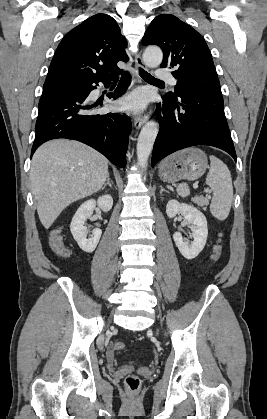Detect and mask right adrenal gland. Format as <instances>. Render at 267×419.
Listing matches in <instances>:
<instances>
[{
    "label": "right adrenal gland",
    "instance_id": "2a0ac1e0",
    "mask_svg": "<svg viewBox=\"0 0 267 419\" xmlns=\"http://www.w3.org/2000/svg\"><path fill=\"white\" fill-rule=\"evenodd\" d=\"M107 185H109V187L110 188H112V184H111V182H110V176H109V174H108V176H107V181H106V183L103 185V187H102V190L107 186Z\"/></svg>",
    "mask_w": 267,
    "mask_h": 419
}]
</instances>
